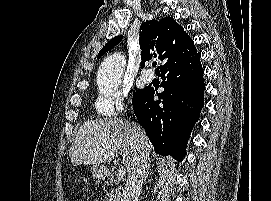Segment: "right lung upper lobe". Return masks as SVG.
<instances>
[{
	"mask_svg": "<svg viewBox=\"0 0 271 201\" xmlns=\"http://www.w3.org/2000/svg\"><path fill=\"white\" fill-rule=\"evenodd\" d=\"M123 36H116L111 39L99 52L98 58L119 44ZM189 36L172 17L163 18L160 21L150 20L140 26V47L141 67L144 62L152 58V53L156 49L159 59L163 64L158 66V71L164 64L179 54ZM157 55L154 52V57Z\"/></svg>",
	"mask_w": 271,
	"mask_h": 201,
	"instance_id": "right-lung-upper-lobe-1",
	"label": "right lung upper lobe"
}]
</instances>
